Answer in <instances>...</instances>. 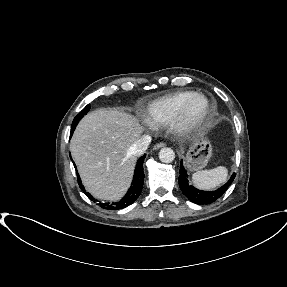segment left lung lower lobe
Segmentation results:
<instances>
[{
  "instance_id": "obj_1",
  "label": "left lung lower lobe",
  "mask_w": 287,
  "mask_h": 287,
  "mask_svg": "<svg viewBox=\"0 0 287 287\" xmlns=\"http://www.w3.org/2000/svg\"><path fill=\"white\" fill-rule=\"evenodd\" d=\"M235 178V173L231 176L230 180L215 191H202L189 184L187 173L183 166V161L180 162V176L179 186L183 194L193 203L196 204H210L220 198L228 189Z\"/></svg>"
}]
</instances>
